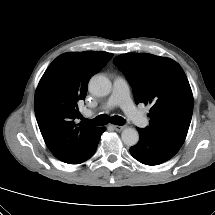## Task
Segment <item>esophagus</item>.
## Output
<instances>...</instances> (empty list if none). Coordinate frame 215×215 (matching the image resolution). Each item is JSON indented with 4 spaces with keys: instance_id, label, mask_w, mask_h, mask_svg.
Masks as SVG:
<instances>
[{
    "instance_id": "1",
    "label": "esophagus",
    "mask_w": 215,
    "mask_h": 215,
    "mask_svg": "<svg viewBox=\"0 0 215 215\" xmlns=\"http://www.w3.org/2000/svg\"><path fill=\"white\" fill-rule=\"evenodd\" d=\"M127 126L126 125H113V128L116 130V131H122L126 128Z\"/></svg>"
}]
</instances>
